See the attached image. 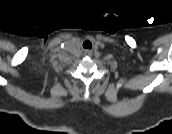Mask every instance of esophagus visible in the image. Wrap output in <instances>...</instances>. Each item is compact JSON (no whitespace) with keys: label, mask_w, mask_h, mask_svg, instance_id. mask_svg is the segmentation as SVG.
Here are the masks:
<instances>
[{"label":"esophagus","mask_w":172,"mask_h":134,"mask_svg":"<svg viewBox=\"0 0 172 134\" xmlns=\"http://www.w3.org/2000/svg\"><path fill=\"white\" fill-rule=\"evenodd\" d=\"M85 52H89V53H90V51H89V50H85Z\"/></svg>","instance_id":"obj_1"}]
</instances>
